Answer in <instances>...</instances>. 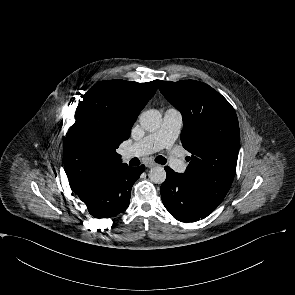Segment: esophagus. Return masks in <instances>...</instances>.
<instances>
[{
  "label": "esophagus",
  "instance_id": "1",
  "mask_svg": "<svg viewBox=\"0 0 295 295\" xmlns=\"http://www.w3.org/2000/svg\"><path fill=\"white\" fill-rule=\"evenodd\" d=\"M157 164L154 162V161H147V162H145V166L147 167V168H152V167H154V166H156Z\"/></svg>",
  "mask_w": 295,
  "mask_h": 295
}]
</instances>
